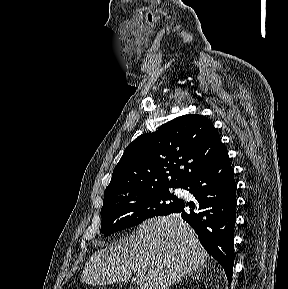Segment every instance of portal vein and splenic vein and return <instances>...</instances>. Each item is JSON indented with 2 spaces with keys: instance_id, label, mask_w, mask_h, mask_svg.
Masks as SVG:
<instances>
[{
  "instance_id": "1",
  "label": "portal vein and splenic vein",
  "mask_w": 288,
  "mask_h": 289,
  "mask_svg": "<svg viewBox=\"0 0 288 289\" xmlns=\"http://www.w3.org/2000/svg\"><path fill=\"white\" fill-rule=\"evenodd\" d=\"M142 281H143V278L137 275V281H136L137 285H140Z\"/></svg>"
}]
</instances>
